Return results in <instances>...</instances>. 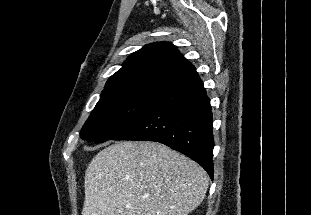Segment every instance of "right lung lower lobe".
I'll list each match as a JSON object with an SVG mask.
<instances>
[{
  "label": "right lung lower lobe",
  "mask_w": 311,
  "mask_h": 215,
  "mask_svg": "<svg viewBox=\"0 0 311 215\" xmlns=\"http://www.w3.org/2000/svg\"><path fill=\"white\" fill-rule=\"evenodd\" d=\"M113 140L165 144L196 161L213 179V117L198 73L194 70L171 83L146 115Z\"/></svg>",
  "instance_id": "1"
}]
</instances>
